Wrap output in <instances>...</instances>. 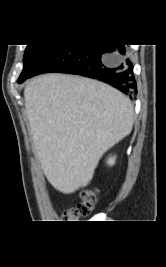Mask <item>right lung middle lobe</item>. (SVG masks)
Wrapping results in <instances>:
<instances>
[{"label": "right lung middle lobe", "instance_id": "right-lung-middle-lobe-1", "mask_svg": "<svg viewBox=\"0 0 166 267\" xmlns=\"http://www.w3.org/2000/svg\"><path fill=\"white\" fill-rule=\"evenodd\" d=\"M53 46V44L27 45L24 53L23 71L18 79V83L24 82L29 77L35 67Z\"/></svg>", "mask_w": 166, "mask_h": 267}]
</instances>
